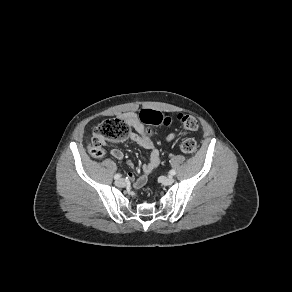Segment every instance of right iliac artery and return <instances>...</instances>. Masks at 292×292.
Segmentation results:
<instances>
[{
    "label": "right iliac artery",
    "mask_w": 292,
    "mask_h": 292,
    "mask_svg": "<svg viewBox=\"0 0 292 292\" xmlns=\"http://www.w3.org/2000/svg\"><path fill=\"white\" fill-rule=\"evenodd\" d=\"M120 174H116L115 176H114V179H119L120 178Z\"/></svg>",
    "instance_id": "right-iliac-artery-1"
}]
</instances>
